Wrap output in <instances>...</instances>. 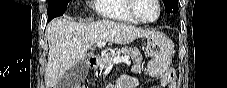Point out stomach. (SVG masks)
Segmentation results:
<instances>
[{
	"label": "stomach",
	"mask_w": 227,
	"mask_h": 88,
	"mask_svg": "<svg viewBox=\"0 0 227 88\" xmlns=\"http://www.w3.org/2000/svg\"><path fill=\"white\" fill-rule=\"evenodd\" d=\"M146 53L151 57L147 71L159 76L169 68L174 54L173 42L163 33L155 32L147 37Z\"/></svg>",
	"instance_id": "0dacf381"
}]
</instances>
